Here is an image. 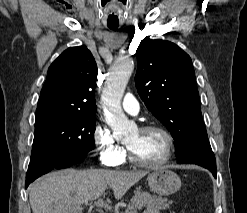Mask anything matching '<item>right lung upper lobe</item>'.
I'll use <instances>...</instances> for the list:
<instances>
[{
    "mask_svg": "<svg viewBox=\"0 0 247 213\" xmlns=\"http://www.w3.org/2000/svg\"><path fill=\"white\" fill-rule=\"evenodd\" d=\"M97 65L86 46L65 50L49 67L36 116L46 113L96 114Z\"/></svg>",
    "mask_w": 247,
    "mask_h": 213,
    "instance_id": "1",
    "label": "right lung upper lobe"
}]
</instances>
